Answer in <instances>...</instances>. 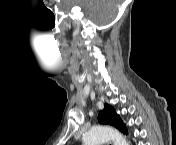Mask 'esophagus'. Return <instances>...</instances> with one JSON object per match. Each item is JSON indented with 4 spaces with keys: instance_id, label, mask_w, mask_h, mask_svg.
I'll use <instances>...</instances> for the list:
<instances>
[{
    "instance_id": "obj_1",
    "label": "esophagus",
    "mask_w": 176,
    "mask_h": 145,
    "mask_svg": "<svg viewBox=\"0 0 176 145\" xmlns=\"http://www.w3.org/2000/svg\"><path fill=\"white\" fill-rule=\"evenodd\" d=\"M108 145H112V143L110 142Z\"/></svg>"
}]
</instances>
